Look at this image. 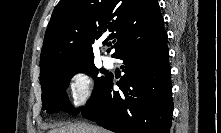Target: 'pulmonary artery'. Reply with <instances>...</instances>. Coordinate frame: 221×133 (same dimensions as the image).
<instances>
[{
    "instance_id": "e3ab8cb5",
    "label": "pulmonary artery",
    "mask_w": 221,
    "mask_h": 133,
    "mask_svg": "<svg viewBox=\"0 0 221 133\" xmlns=\"http://www.w3.org/2000/svg\"><path fill=\"white\" fill-rule=\"evenodd\" d=\"M104 65L107 68H111L114 65V60L110 56H105L104 57Z\"/></svg>"
}]
</instances>
